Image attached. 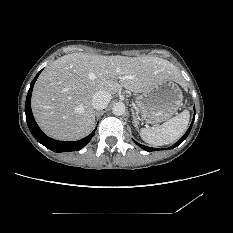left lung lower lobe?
<instances>
[{"label": "left lung lower lobe", "mask_w": 233, "mask_h": 233, "mask_svg": "<svg viewBox=\"0 0 233 233\" xmlns=\"http://www.w3.org/2000/svg\"><path fill=\"white\" fill-rule=\"evenodd\" d=\"M194 118H195V108H194V117H193V121L189 127V129L187 130V132L183 135V137L178 140L174 145H172L169 149H172V148H175L177 147L178 145H180L186 138L187 136L189 135L190 131H191V128H192V125H193V122H194ZM136 144H138L142 149L146 150V151H155V150H159V149H155V148H152V147H147V146H144V145H141L137 142H135Z\"/></svg>", "instance_id": "left-lung-lower-lobe-1"}]
</instances>
